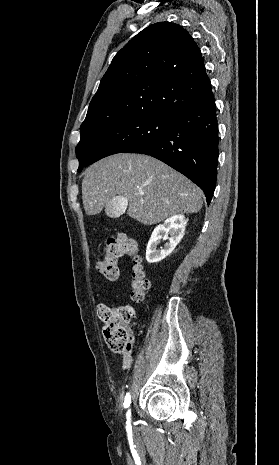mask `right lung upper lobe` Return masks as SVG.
<instances>
[{
    "label": "right lung upper lobe",
    "mask_w": 279,
    "mask_h": 465,
    "mask_svg": "<svg viewBox=\"0 0 279 465\" xmlns=\"http://www.w3.org/2000/svg\"><path fill=\"white\" fill-rule=\"evenodd\" d=\"M201 51L180 25L159 22L113 58L80 130L140 115L172 117L210 93Z\"/></svg>",
    "instance_id": "cb5924a9"
}]
</instances>
